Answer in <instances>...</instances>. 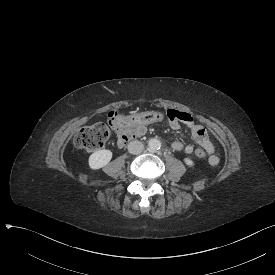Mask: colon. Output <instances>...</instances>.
Here are the masks:
<instances>
[{"label":"colon","instance_id":"1","mask_svg":"<svg viewBox=\"0 0 275 275\" xmlns=\"http://www.w3.org/2000/svg\"><path fill=\"white\" fill-rule=\"evenodd\" d=\"M107 119L108 122L111 123V127L106 123H95L79 130L75 136V145L78 148L88 151L99 150L111 137L112 129L123 130L124 128L134 126L135 124L140 125L144 122L153 123L166 120L165 112H148L120 116L119 112L115 110L108 114ZM195 155L199 158H204L206 152L202 148H197L195 150Z\"/></svg>","mask_w":275,"mask_h":275}]
</instances>
